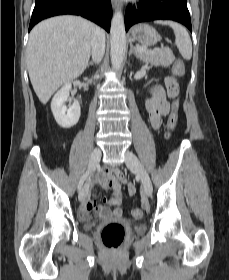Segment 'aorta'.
I'll use <instances>...</instances> for the list:
<instances>
[{"label":"aorta","mask_w":229,"mask_h":280,"mask_svg":"<svg viewBox=\"0 0 229 280\" xmlns=\"http://www.w3.org/2000/svg\"><path fill=\"white\" fill-rule=\"evenodd\" d=\"M110 55L114 69H120L126 52V35L124 18L121 11L115 12L110 29Z\"/></svg>","instance_id":"aorta-1"}]
</instances>
